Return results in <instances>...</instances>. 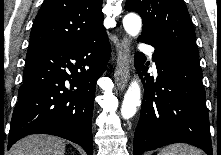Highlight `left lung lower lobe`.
Segmentation results:
<instances>
[{"label": "left lung lower lobe", "mask_w": 221, "mask_h": 155, "mask_svg": "<svg viewBox=\"0 0 221 155\" xmlns=\"http://www.w3.org/2000/svg\"><path fill=\"white\" fill-rule=\"evenodd\" d=\"M138 41L155 47L158 77L155 82L146 75L134 155L177 142L195 145L213 155L199 53L140 37ZM144 59V54H136V69L144 70Z\"/></svg>", "instance_id": "0a47b994"}]
</instances>
